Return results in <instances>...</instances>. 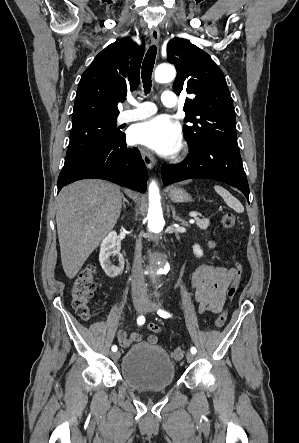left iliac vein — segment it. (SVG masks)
Wrapping results in <instances>:
<instances>
[{"mask_svg": "<svg viewBox=\"0 0 299 443\" xmlns=\"http://www.w3.org/2000/svg\"><path fill=\"white\" fill-rule=\"evenodd\" d=\"M157 307H158L157 304L152 303V302H147L146 307L144 309V312L147 313V312L155 311L157 309ZM186 359H187L188 363H191V362L194 361L195 356H194L193 353L188 352L187 355H186Z\"/></svg>", "mask_w": 299, "mask_h": 443, "instance_id": "obj_1", "label": "left iliac vein"}]
</instances>
